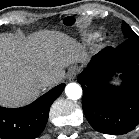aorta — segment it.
<instances>
[{"instance_id":"1","label":"aorta","mask_w":139,"mask_h":139,"mask_svg":"<svg viewBox=\"0 0 139 139\" xmlns=\"http://www.w3.org/2000/svg\"><path fill=\"white\" fill-rule=\"evenodd\" d=\"M65 94L71 100H78L82 97V88L77 83H69L65 87Z\"/></svg>"}]
</instances>
